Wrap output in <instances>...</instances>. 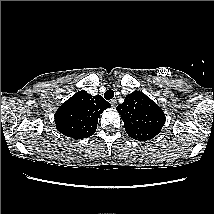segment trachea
Wrapping results in <instances>:
<instances>
[{"instance_id": "3493384b", "label": "trachea", "mask_w": 214, "mask_h": 214, "mask_svg": "<svg viewBox=\"0 0 214 214\" xmlns=\"http://www.w3.org/2000/svg\"><path fill=\"white\" fill-rule=\"evenodd\" d=\"M104 97L106 98V100H111V99H113V97H114V92H113V90H107V91L104 93Z\"/></svg>"}]
</instances>
